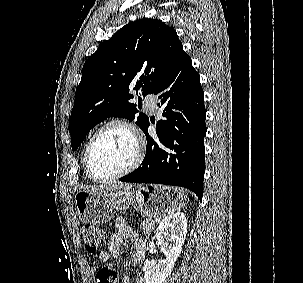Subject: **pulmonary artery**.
I'll return each mask as SVG.
<instances>
[{"label": "pulmonary artery", "mask_w": 303, "mask_h": 283, "mask_svg": "<svg viewBox=\"0 0 303 283\" xmlns=\"http://www.w3.org/2000/svg\"><path fill=\"white\" fill-rule=\"evenodd\" d=\"M157 99L153 94L146 95L144 99L145 106L150 110L154 111L156 108Z\"/></svg>", "instance_id": "pulmonary-artery-1"}]
</instances>
